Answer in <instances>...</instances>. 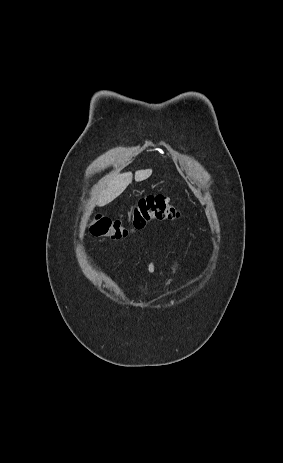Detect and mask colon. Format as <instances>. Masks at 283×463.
I'll list each match as a JSON object with an SVG mask.
<instances>
[{
  "label": "colon",
  "mask_w": 283,
  "mask_h": 463,
  "mask_svg": "<svg viewBox=\"0 0 283 463\" xmlns=\"http://www.w3.org/2000/svg\"><path fill=\"white\" fill-rule=\"evenodd\" d=\"M178 210L162 195L147 196L133 207L127 220L96 216L90 223V231L96 236L122 239L145 227L153 220H174Z\"/></svg>",
  "instance_id": "colon-1"
}]
</instances>
